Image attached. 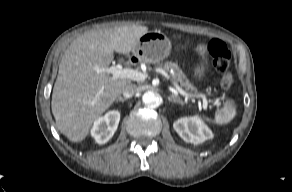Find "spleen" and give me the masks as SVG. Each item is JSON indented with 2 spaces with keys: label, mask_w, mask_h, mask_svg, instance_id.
<instances>
[{
  "label": "spleen",
  "mask_w": 292,
  "mask_h": 192,
  "mask_svg": "<svg viewBox=\"0 0 292 192\" xmlns=\"http://www.w3.org/2000/svg\"><path fill=\"white\" fill-rule=\"evenodd\" d=\"M236 115L235 107L228 104L225 108L221 109L216 115L214 122L217 124H226L230 122ZM209 121V119H208Z\"/></svg>",
  "instance_id": "1"
}]
</instances>
